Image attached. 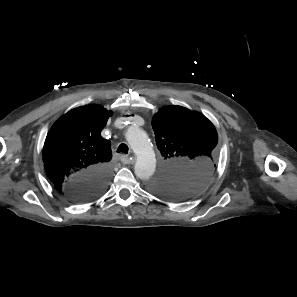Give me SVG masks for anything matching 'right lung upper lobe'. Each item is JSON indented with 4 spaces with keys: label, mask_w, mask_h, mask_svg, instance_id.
Here are the masks:
<instances>
[{
    "label": "right lung upper lobe",
    "mask_w": 297,
    "mask_h": 297,
    "mask_svg": "<svg viewBox=\"0 0 297 297\" xmlns=\"http://www.w3.org/2000/svg\"><path fill=\"white\" fill-rule=\"evenodd\" d=\"M111 115L101 106L87 105L68 112L51 127L43 148L44 168L62 194L74 175L109 167L110 141L100 133Z\"/></svg>",
    "instance_id": "1"
}]
</instances>
